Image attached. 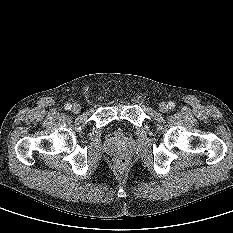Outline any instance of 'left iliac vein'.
Wrapping results in <instances>:
<instances>
[{
	"label": "left iliac vein",
	"instance_id": "4c4485c4",
	"mask_svg": "<svg viewBox=\"0 0 233 233\" xmlns=\"http://www.w3.org/2000/svg\"><path fill=\"white\" fill-rule=\"evenodd\" d=\"M159 110L161 111V112H167V110H168V107H167V104L165 103V102H161L160 104H159Z\"/></svg>",
	"mask_w": 233,
	"mask_h": 233
}]
</instances>
